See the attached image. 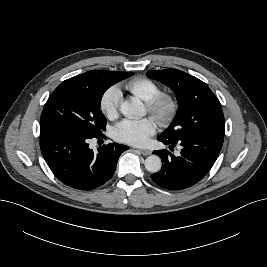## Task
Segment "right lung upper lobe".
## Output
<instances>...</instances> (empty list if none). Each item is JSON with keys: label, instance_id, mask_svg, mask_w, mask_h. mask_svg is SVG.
Instances as JSON below:
<instances>
[{"label": "right lung upper lobe", "instance_id": "cb5924a9", "mask_svg": "<svg viewBox=\"0 0 267 267\" xmlns=\"http://www.w3.org/2000/svg\"><path fill=\"white\" fill-rule=\"evenodd\" d=\"M109 71H99V70H94V71H88L86 73H83L81 75L72 77L68 79V81L71 82H88L92 79L95 78H103L108 74Z\"/></svg>", "mask_w": 267, "mask_h": 267}]
</instances>
